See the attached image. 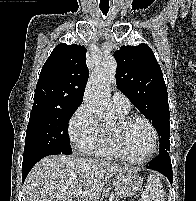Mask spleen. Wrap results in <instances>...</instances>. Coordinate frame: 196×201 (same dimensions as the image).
Segmentation results:
<instances>
[{
	"instance_id": "spleen-1",
	"label": "spleen",
	"mask_w": 196,
	"mask_h": 201,
	"mask_svg": "<svg viewBox=\"0 0 196 201\" xmlns=\"http://www.w3.org/2000/svg\"><path fill=\"white\" fill-rule=\"evenodd\" d=\"M143 201H165L164 190L161 181L154 175H149L147 186L142 192Z\"/></svg>"
}]
</instances>
